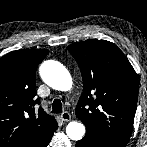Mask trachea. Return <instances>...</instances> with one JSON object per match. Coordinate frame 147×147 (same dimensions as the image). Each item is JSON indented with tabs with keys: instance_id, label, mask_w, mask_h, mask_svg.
Here are the masks:
<instances>
[{
	"instance_id": "trachea-1",
	"label": "trachea",
	"mask_w": 147,
	"mask_h": 147,
	"mask_svg": "<svg viewBox=\"0 0 147 147\" xmlns=\"http://www.w3.org/2000/svg\"><path fill=\"white\" fill-rule=\"evenodd\" d=\"M51 113H62V103L59 99L53 101Z\"/></svg>"
}]
</instances>
